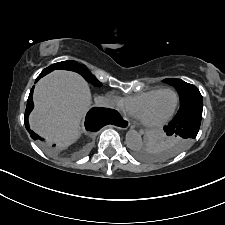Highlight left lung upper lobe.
I'll return each instance as SVG.
<instances>
[{
  "label": "left lung upper lobe",
  "mask_w": 225,
  "mask_h": 225,
  "mask_svg": "<svg viewBox=\"0 0 225 225\" xmlns=\"http://www.w3.org/2000/svg\"><path fill=\"white\" fill-rule=\"evenodd\" d=\"M164 82L174 86L178 90L180 96V109L177 114H181L195 108L202 109L203 98L196 86L175 78H167ZM191 141L192 140L184 139L176 135L169 136L164 144L162 155L165 157L175 155L180 152L176 148V145L185 144L184 148H186Z\"/></svg>",
  "instance_id": "obj_1"
}]
</instances>
